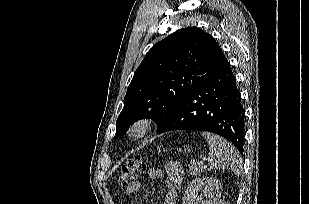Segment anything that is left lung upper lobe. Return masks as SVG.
Returning a JSON list of instances; mask_svg holds the SVG:
<instances>
[{
    "mask_svg": "<svg viewBox=\"0 0 309 204\" xmlns=\"http://www.w3.org/2000/svg\"><path fill=\"white\" fill-rule=\"evenodd\" d=\"M225 56L211 35L187 27L156 43L137 68L116 122L118 138L135 121L151 118L158 129Z\"/></svg>",
    "mask_w": 309,
    "mask_h": 204,
    "instance_id": "5c2ea615",
    "label": "left lung upper lobe"
}]
</instances>
